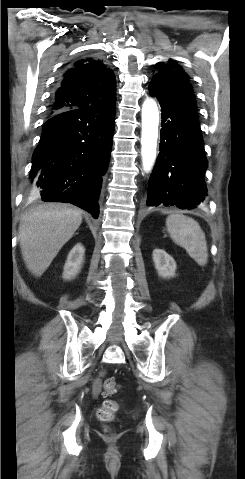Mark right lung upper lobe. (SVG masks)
I'll return each instance as SVG.
<instances>
[{
	"label": "right lung upper lobe",
	"mask_w": 245,
	"mask_h": 479,
	"mask_svg": "<svg viewBox=\"0 0 245 479\" xmlns=\"http://www.w3.org/2000/svg\"><path fill=\"white\" fill-rule=\"evenodd\" d=\"M116 101L113 71L103 60L87 57L75 61L59 81L49 115L71 109L111 107Z\"/></svg>",
	"instance_id": "obj_1"
}]
</instances>
